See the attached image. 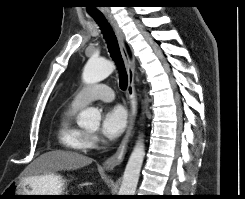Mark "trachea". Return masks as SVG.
I'll return each instance as SVG.
<instances>
[{"instance_id":"3493384b","label":"trachea","mask_w":245,"mask_h":199,"mask_svg":"<svg viewBox=\"0 0 245 199\" xmlns=\"http://www.w3.org/2000/svg\"><path fill=\"white\" fill-rule=\"evenodd\" d=\"M93 19L99 24L102 33L104 35V38L106 40V43L108 45V49L110 52V55L112 59L115 61L117 68L119 70L120 76H119V85L122 90H126L128 86V76L125 71L124 62L120 53L119 45L116 39V36L112 30V28L109 26V24L106 22L105 18L102 15H96L92 16Z\"/></svg>"}]
</instances>
